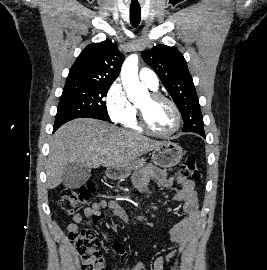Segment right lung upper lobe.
Returning <instances> with one entry per match:
<instances>
[{
	"mask_svg": "<svg viewBox=\"0 0 267 270\" xmlns=\"http://www.w3.org/2000/svg\"><path fill=\"white\" fill-rule=\"evenodd\" d=\"M125 57L111 41L89 44L71 67L66 82L113 83Z\"/></svg>",
	"mask_w": 267,
	"mask_h": 270,
	"instance_id": "obj_1",
	"label": "right lung upper lobe"
}]
</instances>
